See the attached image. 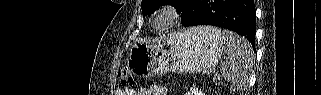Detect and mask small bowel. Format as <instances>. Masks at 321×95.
Segmentation results:
<instances>
[{
    "instance_id": "c3829d8e",
    "label": "small bowel",
    "mask_w": 321,
    "mask_h": 95,
    "mask_svg": "<svg viewBox=\"0 0 321 95\" xmlns=\"http://www.w3.org/2000/svg\"><path fill=\"white\" fill-rule=\"evenodd\" d=\"M127 95H169L168 89L159 84L152 85L148 89H142L139 91H135L134 89H126L125 90Z\"/></svg>"
}]
</instances>
